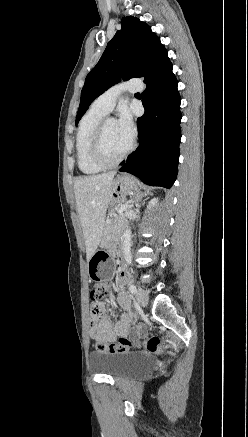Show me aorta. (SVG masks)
<instances>
[{"instance_id":"obj_1","label":"aorta","mask_w":248,"mask_h":437,"mask_svg":"<svg viewBox=\"0 0 248 437\" xmlns=\"http://www.w3.org/2000/svg\"><path fill=\"white\" fill-rule=\"evenodd\" d=\"M131 239H132L131 229L127 228L123 234V255L125 259L131 258Z\"/></svg>"}]
</instances>
